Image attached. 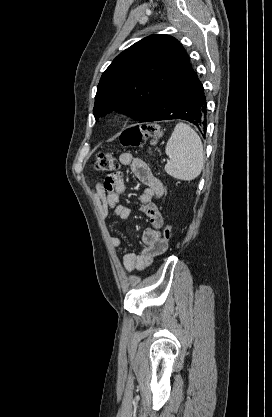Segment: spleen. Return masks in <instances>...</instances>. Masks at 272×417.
<instances>
[{
  "label": "spleen",
  "instance_id": "spleen-1",
  "mask_svg": "<svg viewBox=\"0 0 272 417\" xmlns=\"http://www.w3.org/2000/svg\"><path fill=\"white\" fill-rule=\"evenodd\" d=\"M165 153L170 158L165 165L168 175L185 181L200 175L204 166L203 145L198 134L189 125L178 123L175 126Z\"/></svg>",
  "mask_w": 272,
  "mask_h": 417
}]
</instances>
